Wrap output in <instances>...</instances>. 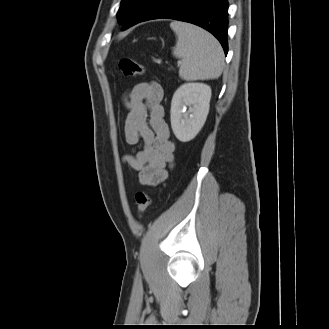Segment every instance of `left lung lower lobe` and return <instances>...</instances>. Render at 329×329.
Here are the masks:
<instances>
[{
  "mask_svg": "<svg viewBox=\"0 0 329 329\" xmlns=\"http://www.w3.org/2000/svg\"><path fill=\"white\" fill-rule=\"evenodd\" d=\"M227 16V0H151L124 29L139 22L161 18L189 22L213 34L227 54Z\"/></svg>",
  "mask_w": 329,
  "mask_h": 329,
  "instance_id": "left-lung-lower-lobe-1",
  "label": "left lung lower lobe"
}]
</instances>
